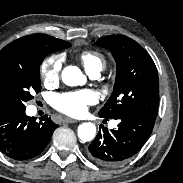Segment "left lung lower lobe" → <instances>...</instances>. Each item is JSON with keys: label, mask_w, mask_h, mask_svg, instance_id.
<instances>
[{"label": "left lung lower lobe", "mask_w": 183, "mask_h": 183, "mask_svg": "<svg viewBox=\"0 0 183 183\" xmlns=\"http://www.w3.org/2000/svg\"><path fill=\"white\" fill-rule=\"evenodd\" d=\"M113 118L119 120L117 128L108 131L101 126L102 130L87 150L88 157L103 166L120 164L136 154L148 140L156 119L135 112L122 113Z\"/></svg>", "instance_id": "0a47b994"}]
</instances>
